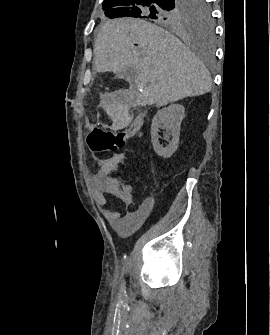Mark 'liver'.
Here are the masks:
<instances>
[{
  "instance_id": "1",
  "label": "liver",
  "mask_w": 270,
  "mask_h": 335,
  "mask_svg": "<svg viewBox=\"0 0 270 335\" xmlns=\"http://www.w3.org/2000/svg\"><path fill=\"white\" fill-rule=\"evenodd\" d=\"M137 44V46H135ZM97 72L133 68L143 104L166 106L211 88L208 70L195 54L163 28L140 18L108 20L94 44Z\"/></svg>"
}]
</instances>
